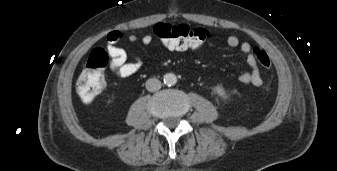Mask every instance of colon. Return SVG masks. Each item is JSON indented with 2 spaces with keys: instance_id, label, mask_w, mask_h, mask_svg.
Segmentation results:
<instances>
[{
  "instance_id": "obj_1",
  "label": "colon",
  "mask_w": 337,
  "mask_h": 171,
  "mask_svg": "<svg viewBox=\"0 0 337 171\" xmlns=\"http://www.w3.org/2000/svg\"><path fill=\"white\" fill-rule=\"evenodd\" d=\"M153 32L171 53L199 47L208 37L204 27L186 24L158 23L153 27ZM252 52L263 69H270L271 60L265 51L255 47ZM107 64L108 55L104 49L92 50L76 82L78 95L84 104L93 103L105 89L104 70Z\"/></svg>"
}]
</instances>
